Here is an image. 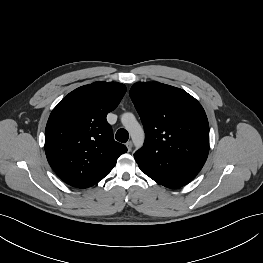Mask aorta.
Listing matches in <instances>:
<instances>
[{
  "instance_id": "762f6f07",
  "label": "aorta",
  "mask_w": 263,
  "mask_h": 263,
  "mask_svg": "<svg viewBox=\"0 0 263 263\" xmlns=\"http://www.w3.org/2000/svg\"><path fill=\"white\" fill-rule=\"evenodd\" d=\"M122 124L129 132L134 145L140 148L143 145L145 134L141 125L137 122L135 116L132 113H124L121 117Z\"/></svg>"
}]
</instances>
